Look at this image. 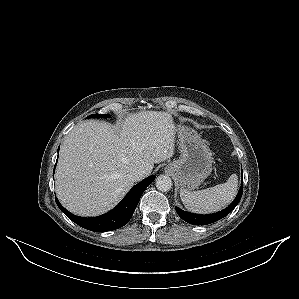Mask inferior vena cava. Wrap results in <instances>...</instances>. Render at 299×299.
<instances>
[{
    "label": "inferior vena cava",
    "mask_w": 299,
    "mask_h": 299,
    "mask_svg": "<svg viewBox=\"0 0 299 299\" xmlns=\"http://www.w3.org/2000/svg\"><path fill=\"white\" fill-rule=\"evenodd\" d=\"M130 177L135 182L140 181V180H142L145 177V170L142 169V168L133 169L130 172Z\"/></svg>",
    "instance_id": "1"
}]
</instances>
